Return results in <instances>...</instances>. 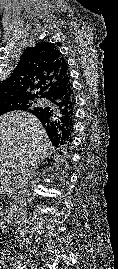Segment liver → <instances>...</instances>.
<instances>
[{
    "label": "liver",
    "mask_w": 118,
    "mask_h": 269,
    "mask_svg": "<svg viewBox=\"0 0 118 269\" xmlns=\"http://www.w3.org/2000/svg\"><path fill=\"white\" fill-rule=\"evenodd\" d=\"M53 153L54 147L34 115L14 111L0 116V174L10 165L18 173L23 164L38 165Z\"/></svg>",
    "instance_id": "obj_1"
}]
</instances>
